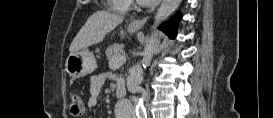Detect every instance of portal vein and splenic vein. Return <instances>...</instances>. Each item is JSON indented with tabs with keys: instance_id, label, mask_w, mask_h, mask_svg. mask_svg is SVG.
Returning <instances> with one entry per match:
<instances>
[{
	"instance_id": "18ae733b",
	"label": "portal vein and splenic vein",
	"mask_w": 273,
	"mask_h": 118,
	"mask_svg": "<svg viewBox=\"0 0 273 118\" xmlns=\"http://www.w3.org/2000/svg\"><path fill=\"white\" fill-rule=\"evenodd\" d=\"M112 62H118L119 65H122L125 61H126V58L122 55H118V56H114L112 59H111Z\"/></svg>"
}]
</instances>
